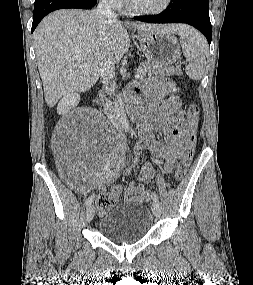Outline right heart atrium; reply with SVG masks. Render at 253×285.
<instances>
[{
    "mask_svg": "<svg viewBox=\"0 0 253 285\" xmlns=\"http://www.w3.org/2000/svg\"><path fill=\"white\" fill-rule=\"evenodd\" d=\"M106 6L112 9H121L124 6V0H101Z\"/></svg>",
    "mask_w": 253,
    "mask_h": 285,
    "instance_id": "right-heart-atrium-1",
    "label": "right heart atrium"
}]
</instances>
